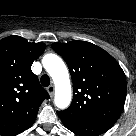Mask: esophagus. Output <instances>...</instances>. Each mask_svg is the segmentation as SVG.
<instances>
[{"label": "esophagus", "mask_w": 136, "mask_h": 136, "mask_svg": "<svg viewBox=\"0 0 136 136\" xmlns=\"http://www.w3.org/2000/svg\"><path fill=\"white\" fill-rule=\"evenodd\" d=\"M54 90H55V87L53 85H50L49 87H47V91L51 97H53L54 95Z\"/></svg>", "instance_id": "1"}]
</instances>
